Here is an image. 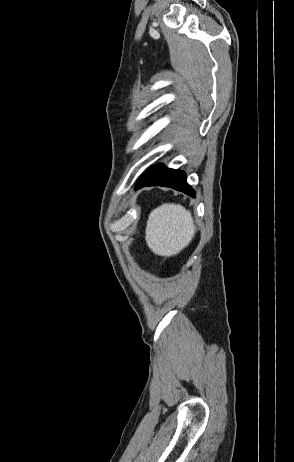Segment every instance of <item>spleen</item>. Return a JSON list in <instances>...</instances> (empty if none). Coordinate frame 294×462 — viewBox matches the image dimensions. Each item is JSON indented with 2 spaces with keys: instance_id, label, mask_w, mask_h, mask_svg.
<instances>
[{
  "instance_id": "spleen-1",
  "label": "spleen",
  "mask_w": 294,
  "mask_h": 462,
  "mask_svg": "<svg viewBox=\"0 0 294 462\" xmlns=\"http://www.w3.org/2000/svg\"><path fill=\"white\" fill-rule=\"evenodd\" d=\"M148 247L161 256L180 252L192 240L195 228L191 213L180 204H162L148 217L146 226Z\"/></svg>"
}]
</instances>
